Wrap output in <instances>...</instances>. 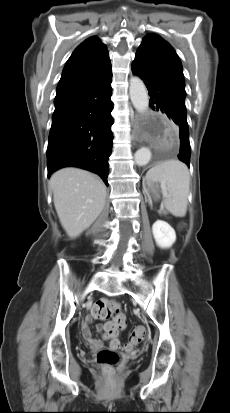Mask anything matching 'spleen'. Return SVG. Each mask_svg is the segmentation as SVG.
Wrapping results in <instances>:
<instances>
[{
	"label": "spleen",
	"instance_id": "spleen-1",
	"mask_svg": "<svg viewBox=\"0 0 230 413\" xmlns=\"http://www.w3.org/2000/svg\"><path fill=\"white\" fill-rule=\"evenodd\" d=\"M147 182L160 184L164 206L175 217H184L187 212L190 174L187 166L179 160L162 162L146 173Z\"/></svg>",
	"mask_w": 230,
	"mask_h": 413
}]
</instances>
